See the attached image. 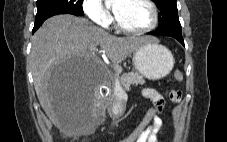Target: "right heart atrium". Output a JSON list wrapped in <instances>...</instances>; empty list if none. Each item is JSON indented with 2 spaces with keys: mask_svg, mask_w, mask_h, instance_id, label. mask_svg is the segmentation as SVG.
I'll use <instances>...</instances> for the list:
<instances>
[{
  "mask_svg": "<svg viewBox=\"0 0 227 142\" xmlns=\"http://www.w3.org/2000/svg\"><path fill=\"white\" fill-rule=\"evenodd\" d=\"M82 9L87 18L94 24L107 28L111 24V15L100 0H83Z\"/></svg>",
  "mask_w": 227,
  "mask_h": 142,
  "instance_id": "right-heart-atrium-1",
  "label": "right heart atrium"
}]
</instances>
